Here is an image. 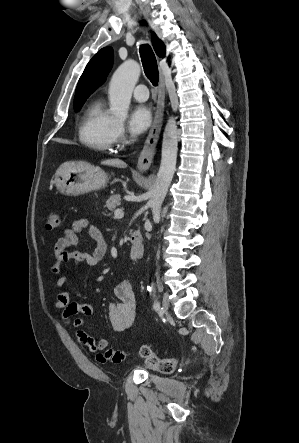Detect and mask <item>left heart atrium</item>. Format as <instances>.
<instances>
[{
	"mask_svg": "<svg viewBox=\"0 0 299 443\" xmlns=\"http://www.w3.org/2000/svg\"><path fill=\"white\" fill-rule=\"evenodd\" d=\"M152 122V114L150 109L145 105L135 106L130 114L129 129L134 135L145 132Z\"/></svg>",
	"mask_w": 299,
	"mask_h": 443,
	"instance_id": "obj_1",
	"label": "left heart atrium"
}]
</instances>
